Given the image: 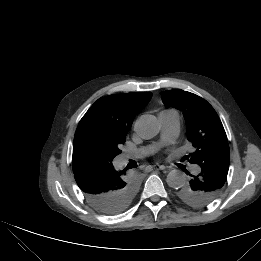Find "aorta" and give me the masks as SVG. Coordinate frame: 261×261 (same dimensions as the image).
Masks as SVG:
<instances>
[{
    "label": "aorta",
    "mask_w": 261,
    "mask_h": 261,
    "mask_svg": "<svg viewBox=\"0 0 261 261\" xmlns=\"http://www.w3.org/2000/svg\"><path fill=\"white\" fill-rule=\"evenodd\" d=\"M135 130L143 139H151L160 131V124L153 115H142L136 122ZM166 182L169 187L180 188L185 185V176L179 170H172L168 173Z\"/></svg>",
    "instance_id": "obj_1"
}]
</instances>
